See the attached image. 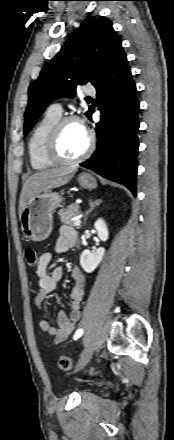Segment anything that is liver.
Here are the masks:
<instances>
[{
	"mask_svg": "<svg viewBox=\"0 0 174 440\" xmlns=\"http://www.w3.org/2000/svg\"><path fill=\"white\" fill-rule=\"evenodd\" d=\"M72 172L73 171H63L60 169H48L28 177L23 184L19 198V216L28 201L33 199L36 195L67 184L72 178V175H70Z\"/></svg>",
	"mask_w": 174,
	"mask_h": 440,
	"instance_id": "liver-1",
	"label": "liver"
}]
</instances>
